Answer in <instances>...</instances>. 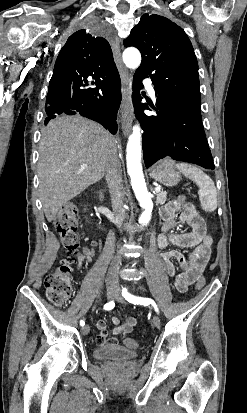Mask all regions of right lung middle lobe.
<instances>
[{"label":"right lung middle lobe","instance_id":"dd1d6c3e","mask_svg":"<svg viewBox=\"0 0 247 413\" xmlns=\"http://www.w3.org/2000/svg\"><path fill=\"white\" fill-rule=\"evenodd\" d=\"M65 94H66V89L64 88L49 87L47 98L58 99V98H62Z\"/></svg>","mask_w":247,"mask_h":413}]
</instances>
